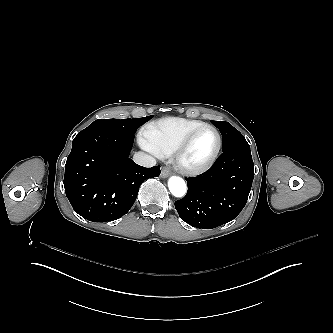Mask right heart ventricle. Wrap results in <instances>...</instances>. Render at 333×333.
<instances>
[{"instance_id":"1","label":"right heart ventricle","mask_w":333,"mask_h":333,"mask_svg":"<svg viewBox=\"0 0 333 333\" xmlns=\"http://www.w3.org/2000/svg\"><path fill=\"white\" fill-rule=\"evenodd\" d=\"M204 124L201 120L179 117L152 122L142 127L138 142L144 149L160 157H168L185 134Z\"/></svg>"}]
</instances>
